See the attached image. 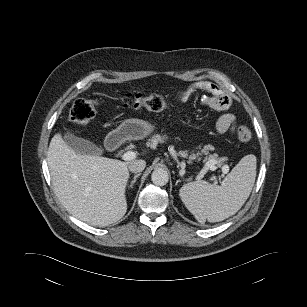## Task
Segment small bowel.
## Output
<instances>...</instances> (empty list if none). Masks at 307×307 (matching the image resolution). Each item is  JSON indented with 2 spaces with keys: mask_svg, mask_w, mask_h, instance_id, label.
Masks as SVG:
<instances>
[{
  "mask_svg": "<svg viewBox=\"0 0 307 307\" xmlns=\"http://www.w3.org/2000/svg\"><path fill=\"white\" fill-rule=\"evenodd\" d=\"M195 91H203L207 93V95L204 96L203 101L212 109L223 111L228 109L230 106L229 97L226 96L216 84L210 81H198L193 85L178 91L175 97L176 101L180 103L188 101ZM235 124L236 119L232 114H223L217 121L216 131L218 134H224L232 131Z\"/></svg>",
  "mask_w": 307,
  "mask_h": 307,
  "instance_id": "1",
  "label": "small bowel"
}]
</instances>
